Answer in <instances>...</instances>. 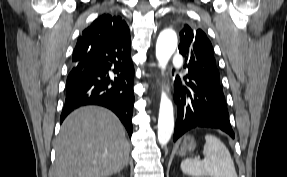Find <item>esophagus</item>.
<instances>
[{
	"label": "esophagus",
	"instance_id": "esophagus-1",
	"mask_svg": "<svg viewBox=\"0 0 287 177\" xmlns=\"http://www.w3.org/2000/svg\"><path fill=\"white\" fill-rule=\"evenodd\" d=\"M155 86H156V87H159V78H158V77H157L156 80H155Z\"/></svg>",
	"mask_w": 287,
	"mask_h": 177
}]
</instances>
